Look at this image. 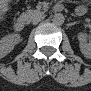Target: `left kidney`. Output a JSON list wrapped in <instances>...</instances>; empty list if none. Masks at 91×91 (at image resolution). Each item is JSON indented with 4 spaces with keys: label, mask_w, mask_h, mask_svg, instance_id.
Returning <instances> with one entry per match:
<instances>
[{
    "label": "left kidney",
    "mask_w": 91,
    "mask_h": 91,
    "mask_svg": "<svg viewBox=\"0 0 91 91\" xmlns=\"http://www.w3.org/2000/svg\"><path fill=\"white\" fill-rule=\"evenodd\" d=\"M78 40H79V47L80 51L85 57H90L91 55V46L90 44L87 43V38L86 35L83 33H80L78 35Z\"/></svg>",
    "instance_id": "obj_1"
}]
</instances>
